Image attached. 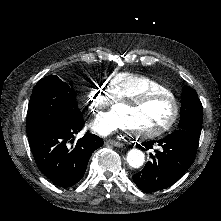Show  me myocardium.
<instances>
[{
    "label": "myocardium",
    "mask_w": 221,
    "mask_h": 221,
    "mask_svg": "<svg viewBox=\"0 0 221 221\" xmlns=\"http://www.w3.org/2000/svg\"><path fill=\"white\" fill-rule=\"evenodd\" d=\"M158 100H164L167 106L168 117L162 121V123L155 124L154 126H148L136 129L134 131V136L136 138H155L160 137L166 133L173 123L175 122L178 114V107L174 102L173 96L166 94L165 92L154 91L147 96H141L137 99H131L129 101V106L131 108H139V106L147 105L148 103H154Z\"/></svg>",
    "instance_id": "f54148a6"
}]
</instances>
